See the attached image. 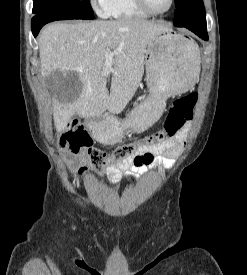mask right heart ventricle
I'll return each instance as SVG.
<instances>
[{"instance_id":"right-heart-ventricle-1","label":"right heart ventricle","mask_w":247,"mask_h":275,"mask_svg":"<svg viewBox=\"0 0 247 275\" xmlns=\"http://www.w3.org/2000/svg\"><path fill=\"white\" fill-rule=\"evenodd\" d=\"M109 17L114 19L147 18L148 14L141 10L135 0H111Z\"/></svg>"}]
</instances>
